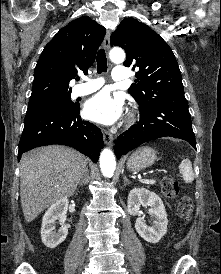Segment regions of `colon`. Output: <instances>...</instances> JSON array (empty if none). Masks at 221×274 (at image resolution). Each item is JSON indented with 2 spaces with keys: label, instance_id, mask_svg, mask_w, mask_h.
Returning a JSON list of instances; mask_svg holds the SVG:
<instances>
[{
  "label": "colon",
  "instance_id": "colon-1",
  "mask_svg": "<svg viewBox=\"0 0 221 274\" xmlns=\"http://www.w3.org/2000/svg\"><path fill=\"white\" fill-rule=\"evenodd\" d=\"M161 191L166 198L174 199L179 194V184L175 179L171 177L165 178L161 182ZM192 212H193L192 200L189 197L181 198L178 203L179 215L182 218L187 219L190 217Z\"/></svg>",
  "mask_w": 221,
  "mask_h": 274
}]
</instances>
